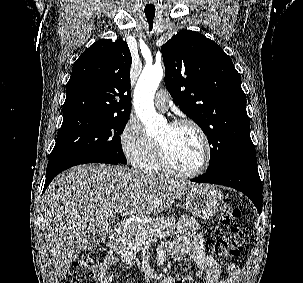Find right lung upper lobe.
Instances as JSON below:
<instances>
[{"label": "right lung upper lobe", "mask_w": 303, "mask_h": 283, "mask_svg": "<svg viewBox=\"0 0 303 283\" xmlns=\"http://www.w3.org/2000/svg\"><path fill=\"white\" fill-rule=\"evenodd\" d=\"M131 63L128 45L121 39L91 45L73 65L63 117L81 113L129 117Z\"/></svg>", "instance_id": "1"}]
</instances>
